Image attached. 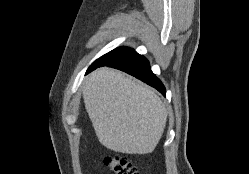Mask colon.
Segmentation results:
<instances>
[{
    "label": "colon",
    "mask_w": 249,
    "mask_h": 174,
    "mask_svg": "<svg viewBox=\"0 0 249 174\" xmlns=\"http://www.w3.org/2000/svg\"><path fill=\"white\" fill-rule=\"evenodd\" d=\"M104 163L113 174H139L136 166L120 154L106 155Z\"/></svg>",
    "instance_id": "1"
}]
</instances>
